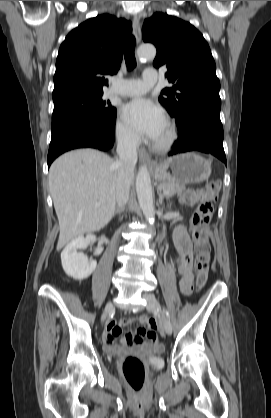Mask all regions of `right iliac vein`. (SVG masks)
<instances>
[{"label":"right iliac vein","mask_w":271,"mask_h":418,"mask_svg":"<svg viewBox=\"0 0 271 418\" xmlns=\"http://www.w3.org/2000/svg\"><path fill=\"white\" fill-rule=\"evenodd\" d=\"M113 309V304L111 302L107 303V305L105 306L103 315H102V322L105 321L108 313Z\"/></svg>","instance_id":"obj_1"}]
</instances>
